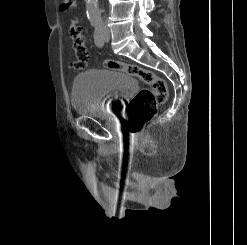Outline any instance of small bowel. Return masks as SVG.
Returning <instances> with one entry per match:
<instances>
[{
    "label": "small bowel",
    "mask_w": 247,
    "mask_h": 245,
    "mask_svg": "<svg viewBox=\"0 0 247 245\" xmlns=\"http://www.w3.org/2000/svg\"><path fill=\"white\" fill-rule=\"evenodd\" d=\"M75 30V31H77V32H79V34L81 35V36H83L82 35V30H81V28L80 27H78L75 23H72L71 24V26H70V28H69V30Z\"/></svg>",
    "instance_id": "1"
}]
</instances>
